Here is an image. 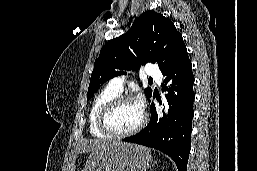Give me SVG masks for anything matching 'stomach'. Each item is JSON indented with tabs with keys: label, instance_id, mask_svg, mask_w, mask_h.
<instances>
[{
	"label": "stomach",
	"instance_id": "0dacf381",
	"mask_svg": "<svg viewBox=\"0 0 257 171\" xmlns=\"http://www.w3.org/2000/svg\"><path fill=\"white\" fill-rule=\"evenodd\" d=\"M150 160L147 148L117 141L91 152L82 171H146Z\"/></svg>",
	"mask_w": 257,
	"mask_h": 171
}]
</instances>
